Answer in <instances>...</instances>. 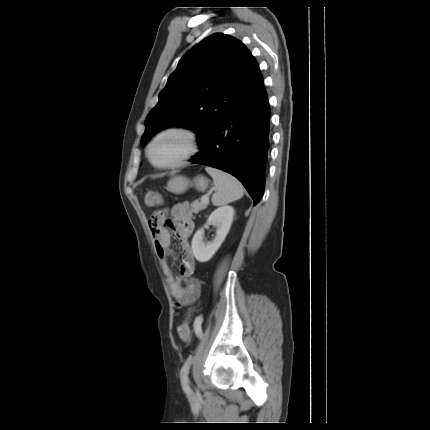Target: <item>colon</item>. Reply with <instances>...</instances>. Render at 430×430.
Masks as SVG:
<instances>
[{
    "label": "colon",
    "instance_id": "obj_1",
    "mask_svg": "<svg viewBox=\"0 0 430 430\" xmlns=\"http://www.w3.org/2000/svg\"><path fill=\"white\" fill-rule=\"evenodd\" d=\"M145 203L149 207H154L156 205H161L163 203V198L159 193L148 192L145 196ZM194 330H199V325H195ZM179 336L184 342L190 341L191 329L189 326V320L188 319H186L183 322V326L180 329Z\"/></svg>",
    "mask_w": 430,
    "mask_h": 430
}]
</instances>
